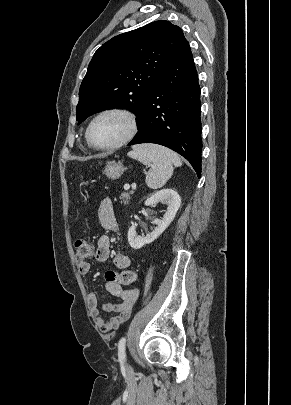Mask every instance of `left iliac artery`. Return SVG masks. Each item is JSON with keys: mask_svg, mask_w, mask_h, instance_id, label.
Instances as JSON below:
<instances>
[{"mask_svg": "<svg viewBox=\"0 0 291 405\" xmlns=\"http://www.w3.org/2000/svg\"><path fill=\"white\" fill-rule=\"evenodd\" d=\"M125 344H126V338L123 337L120 339V341L118 343V358L121 362H125V360H126Z\"/></svg>", "mask_w": 291, "mask_h": 405, "instance_id": "1", "label": "left iliac artery"}]
</instances>
